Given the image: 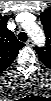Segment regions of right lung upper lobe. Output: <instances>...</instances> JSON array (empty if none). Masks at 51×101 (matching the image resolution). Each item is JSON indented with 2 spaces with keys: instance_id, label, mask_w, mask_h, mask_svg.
I'll list each match as a JSON object with an SVG mask.
<instances>
[{
  "instance_id": "cb5924a9",
  "label": "right lung upper lobe",
  "mask_w": 51,
  "mask_h": 101,
  "mask_svg": "<svg viewBox=\"0 0 51 101\" xmlns=\"http://www.w3.org/2000/svg\"><path fill=\"white\" fill-rule=\"evenodd\" d=\"M8 17L0 15V72L8 68L19 50L25 46L17 40L12 31L7 29Z\"/></svg>"
}]
</instances>
